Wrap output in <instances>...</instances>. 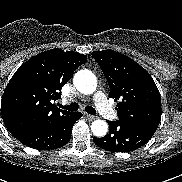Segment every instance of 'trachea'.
Segmentation results:
<instances>
[{"instance_id":"3493384b","label":"trachea","mask_w":182,"mask_h":182,"mask_svg":"<svg viewBox=\"0 0 182 182\" xmlns=\"http://www.w3.org/2000/svg\"><path fill=\"white\" fill-rule=\"evenodd\" d=\"M61 108L63 109H66L68 111H77L79 109V105L78 103L74 102V103H71L70 105L68 106H60ZM85 111L91 115H95L96 114V110L91 107V106H87L85 107Z\"/></svg>"}]
</instances>
